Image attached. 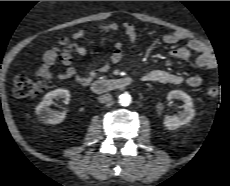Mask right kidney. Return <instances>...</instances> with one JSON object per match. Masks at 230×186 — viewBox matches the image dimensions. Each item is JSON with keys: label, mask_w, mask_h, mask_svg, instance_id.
<instances>
[{"label": "right kidney", "mask_w": 230, "mask_h": 186, "mask_svg": "<svg viewBox=\"0 0 230 186\" xmlns=\"http://www.w3.org/2000/svg\"><path fill=\"white\" fill-rule=\"evenodd\" d=\"M59 98L63 99L65 104H68L70 100L69 91L66 89H56L47 93L43 97L42 102H40V104L36 107V114L41 122L58 124L65 119V112H58L49 108V106L53 103V99L58 100Z\"/></svg>", "instance_id": "right-kidney-1"}]
</instances>
